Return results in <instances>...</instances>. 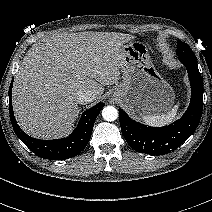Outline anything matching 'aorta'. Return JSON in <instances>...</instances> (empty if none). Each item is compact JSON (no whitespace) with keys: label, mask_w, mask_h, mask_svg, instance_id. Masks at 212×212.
<instances>
[{"label":"aorta","mask_w":212,"mask_h":212,"mask_svg":"<svg viewBox=\"0 0 212 212\" xmlns=\"http://www.w3.org/2000/svg\"><path fill=\"white\" fill-rule=\"evenodd\" d=\"M102 117L106 121H115L118 117V111L113 106H106L102 109Z\"/></svg>","instance_id":"aorta-1"}]
</instances>
